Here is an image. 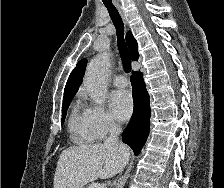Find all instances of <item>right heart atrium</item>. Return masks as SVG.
I'll use <instances>...</instances> for the list:
<instances>
[{
    "instance_id": "obj_1",
    "label": "right heart atrium",
    "mask_w": 224,
    "mask_h": 188,
    "mask_svg": "<svg viewBox=\"0 0 224 188\" xmlns=\"http://www.w3.org/2000/svg\"><path fill=\"white\" fill-rule=\"evenodd\" d=\"M84 116L88 128L96 139H105L119 128L114 117L100 106H87L84 109Z\"/></svg>"
}]
</instances>
